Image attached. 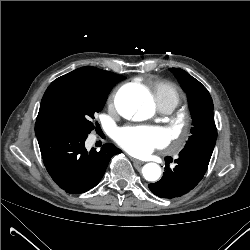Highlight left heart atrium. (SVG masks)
I'll list each match as a JSON object with an SVG mask.
<instances>
[{
	"label": "left heart atrium",
	"instance_id": "obj_1",
	"mask_svg": "<svg viewBox=\"0 0 250 250\" xmlns=\"http://www.w3.org/2000/svg\"><path fill=\"white\" fill-rule=\"evenodd\" d=\"M117 141L131 154L144 156L164 147L169 135L160 127H126L117 133Z\"/></svg>",
	"mask_w": 250,
	"mask_h": 250
}]
</instances>
